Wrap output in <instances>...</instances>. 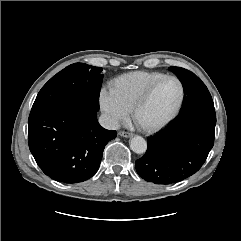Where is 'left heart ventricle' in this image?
<instances>
[{
	"instance_id": "b2bd125f",
	"label": "left heart ventricle",
	"mask_w": 241,
	"mask_h": 241,
	"mask_svg": "<svg viewBox=\"0 0 241 241\" xmlns=\"http://www.w3.org/2000/svg\"><path fill=\"white\" fill-rule=\"evenodd\" d=\"M180 96V87L175 80L163 81L153 92L149 100L136 113L139 125H154L174 109Z\"/></svg>"
}]
</instances>
